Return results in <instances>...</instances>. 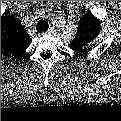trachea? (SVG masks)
Here are the masks:
<instances>
[{
    "instance_id": "trachea-1",
    "label": "trachea",
    "mask_w": 121,
    "mask_h": 121,
    "mask_svg": "<svg viewBox=\"0 0 121 121\" xmlns=\"http://www.w3.org/2000/svg\"><path fill=\"white\" fill-rule=\"evenodd\" d=\"M48 27L49 25L45 20H40L36 25L37 31H47Z\"/></svg>"
}]
</instances>
